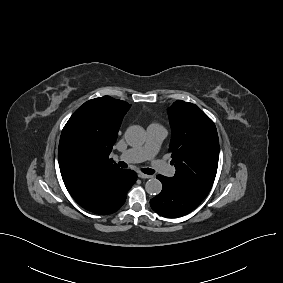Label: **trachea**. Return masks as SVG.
Segmentation results:
<instances>
[{"label": "trachea", "instance_id": "1", "mask_svg": "<svg viewBox=\"0 0 283 283\" xmlns=\"http://www.w3.org/2000/svg\"><path fill=\"white\" fill-rule=\"evenodd\" d=\"M118 165L120 167H122V168H127L128 167V165L125 162H123V161H120L118 163ZM141 171L143 173H145V174H154L155 173V171L153 169H151V168H142Z\"/></svg>", "mask_w": 283, "mask_h": 283}]
</instances>
